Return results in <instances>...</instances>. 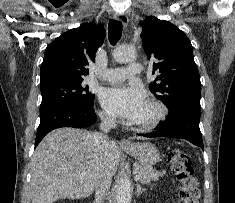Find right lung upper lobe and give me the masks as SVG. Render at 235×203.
<instances>
[{"label":"right lung upper lobe","mask_w":235,"mask_h":203,"mask_svg":"<svg viewBox=\"0 0 235 203\" xmlns=\"http://www.w3.org/2000/svg\"><path fill=\"white\" fill-rule=\"evenodd\" d=\"M105 38L101 24L83 23L50 43L41 64L40 85L56 81L79 80L89 74L87 66Z\"/></svg>","instance_id":"1"}]
</instances>
